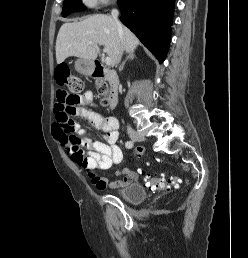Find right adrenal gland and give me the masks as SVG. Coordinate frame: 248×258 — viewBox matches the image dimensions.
Segmentation results:
<instances>
[{"label": "right adrenal gland", "instance_id": "1", "mask_svg": "<svg viewBox=\"0 0 248 258\" xmlns=\"http://www.w3.org/2000/svg\"><path fill=\"white\" fill-rule=\"evenodd\" d=\"M134 58H135V54L133 52L128 53L125 61H123V63L121 64L119 71L121 72L124 69L126 61L133 60Z\"/></svg>", "mask_w": 248, "mask_h": 258}]
</instances>
